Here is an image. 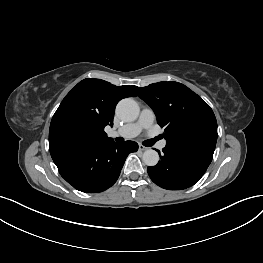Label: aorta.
Wrapping results in <instances>:
<instances>
[{
    "mask_svg": "<svg viewBox=\"0 0 263 263\" xmlns=\"http://www.w3.org/2000/svg\"><path fill=\"white\" fill-rule=\"evenodd\" d=\"M116 113L122 120L131 122L137 119L139 106L132 98H125L117 104ZM142 160L147 166H155L159 155L155 150L148 149L143 153Z\"/></svg>",
    "mask_w": 263,
    "mask_h": 263,
    "instance_id": "aorta-1",
    "label": "aorta"
}]
</instances>
